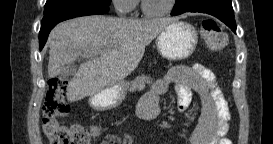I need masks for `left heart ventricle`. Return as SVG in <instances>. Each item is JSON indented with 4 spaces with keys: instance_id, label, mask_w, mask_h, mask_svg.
I'll use <instances>...</instances> for the list:
<instances>
[{
    "instance_id": "left-heart-ventricle-1",
    "label": "left heart ventricle",
    "mask_w": 273,
    "mask_h": 144,
    "mask_svg": "<svg viewBox=\"0 0 273 144\" xmlns=\"http://www.w3.org/2000/svg\"><path fill=\"white\" fill-rule=\"evenodd\" d=\"M149 9L151 10H161L166 7L170 0H145Z\"/></svg>"
}]
</instances>
